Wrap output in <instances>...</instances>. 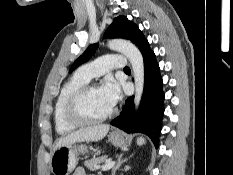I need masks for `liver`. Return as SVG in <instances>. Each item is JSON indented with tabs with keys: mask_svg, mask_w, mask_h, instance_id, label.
<instances>
[{
	"mask_svg": "<svg viewBox=\"0 0 233 175\" xmlns=\"http://www.w3.org/2000/svg\"><path fill=\"white\" fill-rule=\"evenodd\" d=\"M109 129H110V126L107 124H101V125L82 128L64 137L59 138L54 144V149L60 146L71 145L76 142L99 141L106 136Z\"/></svg>",
	"mask_w": 233,
	"mask_h": 175,
	"instance_id": "obj_1",
	"label": "liver"
}]
</instances>
